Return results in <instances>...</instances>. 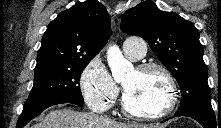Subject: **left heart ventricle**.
Wrapping results in <instances>:
<instances>
[{"label":"left heart ventricle","instance_id":"obj_1","mask_svg":"<svg viewBox=\"0 0 221 128\" xmlns=\"http://www.w3.org/2000/svg\"><path fill=\"white\" fill-rule=\"evenodd\" d=\"M125 99L136 112L157 110L164 106L168 87L158 71L138 73L134 70L123 82Z\"/></svg>","mask_w":221,"mask_h":128}]
</instances>
